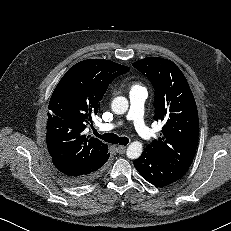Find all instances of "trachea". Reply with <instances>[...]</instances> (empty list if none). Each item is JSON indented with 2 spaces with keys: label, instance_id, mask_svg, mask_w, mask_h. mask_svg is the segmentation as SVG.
Instances as JSON below:
<instances>
[{
  "label": "trachea",
  "instance_id": "3493384b",
  "mask_svg": "<svg viewBox=\"0 0 231 231\" xmlns=\"http://www.w3.org/2000/svg\"><path fill=\"white\" fill-rule=\"evenodd\" d=\"M94 135L103 139L104 141L112 144H119L126 146L129 143V139L127 137H119L116 134L113 133H105V134H99L96 130H94Z\"/></svg>",
  "mask_w": 231,
  "mask_h": 231
}]
</instances>
